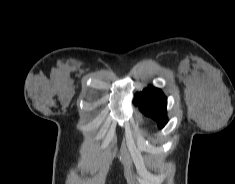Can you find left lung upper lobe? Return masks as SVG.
I'll use <instances>...</instances> for the list:
<instances>
[{"mask_svg":"<svg viewBox=\"0 0 235 184\" xmlns=\"http://www.w3.org/2000/svg\"><path fill=\"white\" fill-rule=\"evenodd\" d=\"M134 104L138 105L147 116L157 121L160 127H164L167 123V98L160 89L147 87L135 95Z\"/></svg>","mask_w":235,"mask_h":184,"instance_id":"5c2ea615","label":"left lung upper lobe"}]
</instances>
